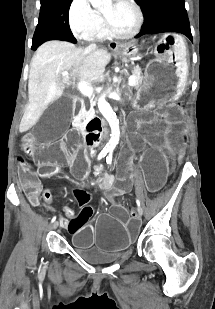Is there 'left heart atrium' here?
<instances>
[{"label":"left heart atrium","mask_w":215,"mask_h":309,"mask_svg":"<svg viewBox=\"0 0 215 309\" xmlns=\"http://www.w3.org/2000/svg\"><path fill=\"white\" fill-rule=\"evenodd\" d=\"M106 20H116L114 17H109Z\"/></svg>","instance_id":"obj_1"}]
</instances>
